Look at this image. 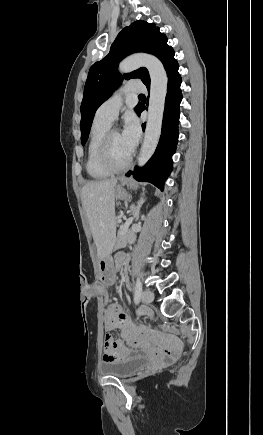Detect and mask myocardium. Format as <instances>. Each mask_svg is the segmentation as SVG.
I'll list each match as a JSON object with an SVG mask.
<instances>
[{
  "instance_id": "1",
  "label": "myocardium",
  "mask_w": 263,
  "mask_h": 435,
  "mask_svg": "<svg viewBox=\"0 0 263 435\" xmlns=\"http://www.w3.org/2000/svg\"><path fill=\"white\" fill-rule=\"evenodd\" d=\"M117 130L115 128H109L104 136L102 137V140L100 142L99 148H98V161L99 164L107 171L111 173H118L126 170L133 161V153L129 155L128 159L121 165H116L110 155V140L111 136L114 132Z\"/></svg>"
}]
</instances>
